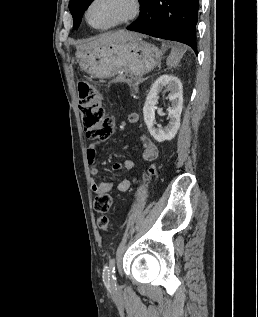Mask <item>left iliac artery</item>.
Masks as SVG:
<instances>
[{"label": "left iliac artery", "instance_id": "1", "mask_svg": "<svg viewBox=\"0 0 258 317\" xmlns=\"http://www.w3.org/2000/svg\"><path fill=\"white\" fill-rule=\"evenodd\" d=\"M115 265H116V260L113 257L110 262H109V269H110V275H111V280H112V287L109 289L110 293L117 292L118 287L116 283V271H115Z\"/></svg>", "mask_w": 258, "mask_h": 317}]
</instances>
